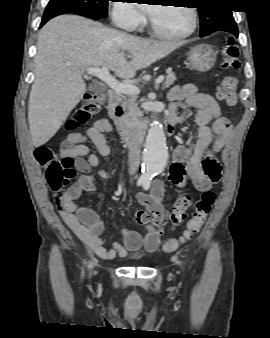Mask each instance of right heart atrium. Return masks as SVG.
I'll list each match as a JSON object with an SVG mask.
<instances>
[{
    "instance_id": "obj_1",
    "label": "right heart atrium",
    "mask_w": 270,
    "mask_h": 338,
    "mask_svg": "<svg viewBox=\"0 0 270 338\" xmlns=\"http://www.w3.org/2000/svg\"><path fill=\"white\" fill-rule=\"evenodd\" d=\"M111 17L115 25L127 30L137 29L145 23V15L128 1L115 3Z\"/></svg>"
}]
</instances>
